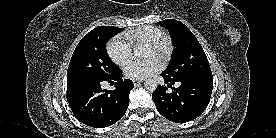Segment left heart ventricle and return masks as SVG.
<instances>
[{"label": "left heart ventricle", "instance_id": "left-heart-ventricle-1", "mask_svg": "<svg viewBox=\"0 0 276 138\" xmlns=\"http://www.w3.org/2000/svg\"><path fill=\"white\" fill-rule=\"evenodd\" d=\"M147 56L159 58V53L154 48L148 46L147 47Z\"/></svg>", "mask_w": 276, "mask_h": 138}]
</instances>
